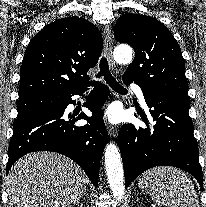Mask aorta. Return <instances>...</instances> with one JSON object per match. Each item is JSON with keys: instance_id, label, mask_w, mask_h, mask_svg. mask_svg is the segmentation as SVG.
<instances>
[{"instance_id": "1", "label": "aorta", "mask_w": 206, "mask_h": 207, "mask_svg": "<svg viewBox=\"0 0 206 207\" xmlns=\"http://www.w3.org/2000/svg\"><path fill=\"white\" fill-rule=\"evenodd\" d=\"M132 57L133 51L129 46H118L114 50V59L120 64L129 63L132 60ZM104 158L110 189L113 196L120 201L123 198L125 190L124 171L119 150L114 143L110 142L107 144Z\"/></svg>"}]
</instances>
